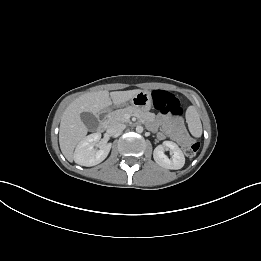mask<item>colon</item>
I'll return each mask as SVG.
<instances>
[{
    "label": "colon",
    "mask_w": 261,
    "mask_h": 261,
    "mask_svg": "<svg viewBox=\"0 0 261 261\" xmlns=\"http://www.w3.org/2000/svg\"><path fill=\"white\" fill-rule=\"evenodd\" d=\"M154 107L163 114H171L175 117H181L184 109L178 99L171 93L162 90H156L152 94ZM200 144L195 142L184 148V153L188 157H193L198 152Z\"/></svg>",
    "instance_id": "obj_1"
}]
</instances>
